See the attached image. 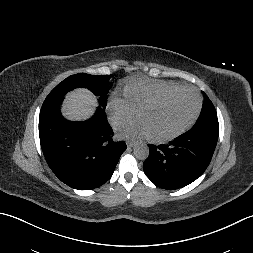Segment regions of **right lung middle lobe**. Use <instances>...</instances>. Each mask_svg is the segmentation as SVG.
Wrapping results in <instances>:
<instances>
[{
  "label": "right lung middle lobe",
  "instance_id": "1",
  "mask_svg": "<svg viewBox=\"0 0 253 253\" xmlns=\"http://www.w3.org/2000/svg\"><path fill=\"white\" fill-rule=\"evenodd\" d=\"M109 75H89L85 73H78L69 76L61 83H59L47 96L45 100L62 97L68 91L74 88H87L96 96H100V103L103 108L106 107L107 97L109 91Z\"/></svg>",
  "mask_w": 253,
  "mask_h": 253
}]
</instances>
